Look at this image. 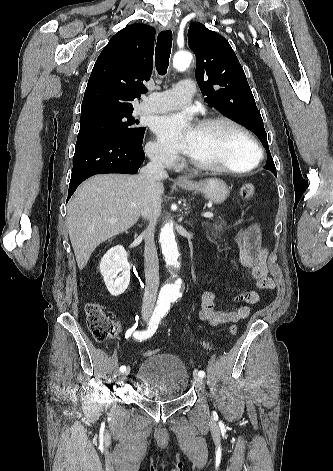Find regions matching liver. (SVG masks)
<instances>
[{
	"label": "liver",
	"mask_w": 333,
	"mask_h": 471,
	"mask_svg": "<svg viewBox=\"0 0 333 471\" xmlns=\"http://www.w3.org/2000/svg\"><path fill=\"white\" fill-rule=\"evenodd\" d=\"M162 179L158 178L155 186L160 199L164 193ZM146 191L141 174L95 175L77 189L67 207V220L80 270L97 246L136 224Z\"/></svg>",
	"instance_id": "obj_1"
}]
</instances>
